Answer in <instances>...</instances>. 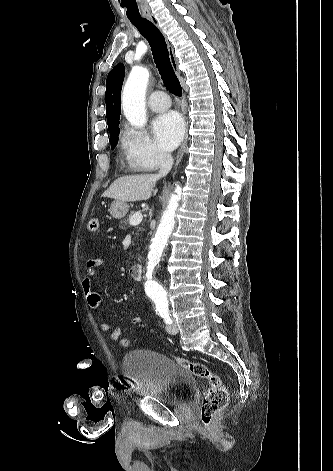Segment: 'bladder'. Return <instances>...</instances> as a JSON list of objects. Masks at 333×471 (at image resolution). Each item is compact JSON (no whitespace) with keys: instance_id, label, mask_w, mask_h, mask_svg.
Instances as JSON below:
<instances>
[{"instance_id":"1","label":"bladder","mask_w":333,"mask_h":471,"mask_svg":"<svg viewBox=\"0 0 333 471\" xmlns=\"http://www.w3.org/2000/svg\"><path fill=\"white\" fill-rule=\"evenodd\" d=\"M122 371L133 391L166 405H181L196 389L192 373L170 357L153 350H134L123 358Z\"/></svg>"}]
</instances>
